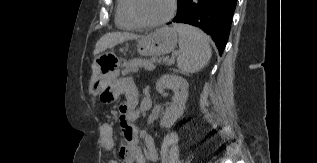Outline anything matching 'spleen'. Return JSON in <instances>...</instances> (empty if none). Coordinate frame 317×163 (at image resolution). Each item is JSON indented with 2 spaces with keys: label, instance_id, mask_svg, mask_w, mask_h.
<instances>
[{
  "label": "spleen",
  "instance_id": "1",
  "mask_svg": "<svg viewBox=\"0 0 317 163\" xmlns=\"http://www.w3.org/2000/svg\"><path fill=\"white\" fill-rule=\"evenodd\" d=\"M174 29L179 34L178 68L185 74L196 73L203 69L212 55L208 36L186 24H174Z\"/></svg>",
  "mask_w": 317,
  "mask_h": 163
}]
</instances>
